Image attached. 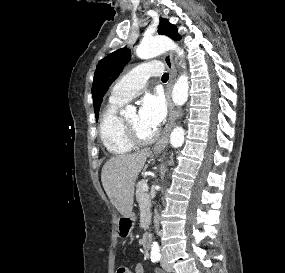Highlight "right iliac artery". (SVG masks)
<instances>
[{
	"mask_svg": "<svg viewBox=\"0 0 285 273\" xmlns=\"http://www.w3.org/2000/svg\"><path fill=\"white\" fill-rule=\"evenodd\" d=\"M160 258H161V255H160V254H159V255H152V256H151L152 262H158V261L160 260Z\"/></svg>",
	"mask_w": 285,
	"mask_h": 273,
	"instance_id": "1",
	"label": "right iliac artery"
}]
</instances>
